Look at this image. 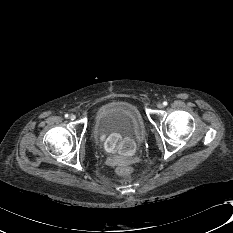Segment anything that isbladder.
<instances>
[{"label":"bladder","instance_id":"bladder-1","mask_svg":"<svg viewBox=\"0 0 233 233\" xmlns=\"http://www.w3.org/2000/svg\"><path fill=\"white\" fill-rule=\"evenodd\" d=\"M92 133L96 140L104 134L116 133L142 142L147 135L146 123L138 108L127 102H111L96 112Z\"/></svg>","mask_w":233,"mask_h":233}]
</instances>
